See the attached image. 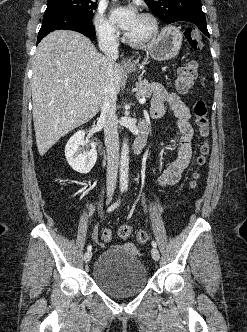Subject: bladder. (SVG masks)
<instances>
[{"label":"bladder","mask_w":247,"mask_h":332,"mask_svg":"<svg viewBox=\"0 0 247 332\" xmlns=\"http://www.w3.org/2000/svg\"><path fill=\"white\" fill-rule=\"evenodd\" d=\"M92 277L103 292L116 298L139 294L149 281L145 265L129 245L104 250L94 264Z\"/></svg>","instance_id":"obj_1"}]
</instances>
